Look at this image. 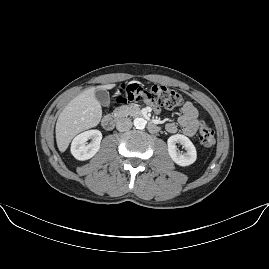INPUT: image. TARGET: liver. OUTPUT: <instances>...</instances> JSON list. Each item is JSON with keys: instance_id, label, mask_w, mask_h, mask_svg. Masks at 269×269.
<instances>
[{"instance_id": "6515ba94", "label": "liver", "mask_w": 269, "mask_h": 269, "mask_svg": "<svg viewBox=\"0 0 269 269\" xmlns=\"http://www.w3.org/2000/svg\"><path fill=\"white\" fill-rule=\"evenodd\" d=\"M114 85L91 87L75 97L60 113L56 123V139L60 151H65L75 135L96 126L101 119V105L95 98L98 89Z\"/></svg>"}]
</instances>
